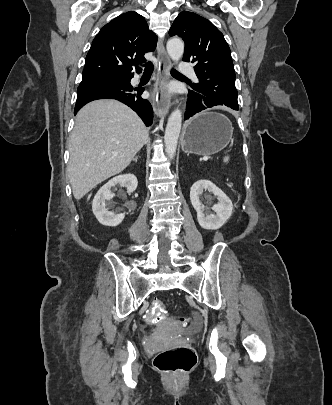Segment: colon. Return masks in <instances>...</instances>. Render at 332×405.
<instances>
[{
	"label": "colon",
	"mask_w": 332,
	"mask_h": 405,
	"mask_svg": "<svg viewBox=\"0 0 332 405\" xmlns=\"http://www.w3.org/2000/svg\"><path fill=\"white\" fill-rule=\"evenodd\" d=\"M148 312L147 322L149 324H156L169 316L160 300L154 301ZM171 319L177 327H185L190 321L189 318L179 316H172ZM196 362V352L189 344L159 351L155 354L153 360L157 370L171 375L189 372L195 366Z\"/></svg>",
	"instance_id": "obj_1"
}]
</instances>
